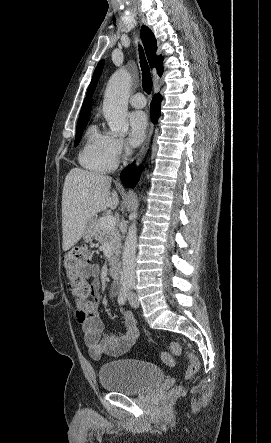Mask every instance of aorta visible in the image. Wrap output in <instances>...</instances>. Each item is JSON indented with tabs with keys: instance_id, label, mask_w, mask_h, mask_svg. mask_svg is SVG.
Masks as SVG:
<instances>
[{
	"instance_id": "762f6f07",
	"label": "aorta",
	"mask_w": 271,
	"mask_h": 443,
	"mask_svg": "<svg viewBox=\"0 0 271 443\" xmlns=\"http://www.w3.org/2000/svg\"><path fill=\"white\" fill-rule=\"evenodd\" d=\"M131 90V74L119 68L112 74L104 94L103 116L111 132H127L129 122L127 118L128 100ZM137 210L138 202L130 214V223L122 251V275L124 281H135V253L137 247Z\"/></svg>"
}]
</instances>
